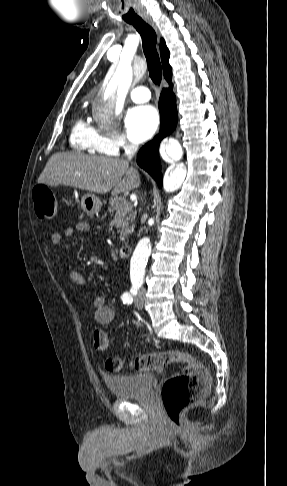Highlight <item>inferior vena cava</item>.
<instances>
[{"label": "inferior vena cava", "instance_id": "obj_1", "mask_svg": "<svg viewBox=\"0 0 287 486\" xmlns=\"http://www.w3.org/2000/svg\"><path fill=\"white\" fill-rule=\"evenodd\" d=\"M125 149V154L127 156V158L130 160L132 159V157L135 155V153L137 152L138 150V145L136 144H128L124 147Z\"/></svg>", "mask_w": 287, "mask_h": 486}]
</instances>
